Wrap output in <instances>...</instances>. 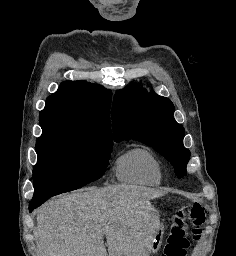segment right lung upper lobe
I'll list each match as a JSON object with an SVG mask.
<instances>
[{
	"instance_id": "1",
	"label": "right lung upper lobe",
	"mask_w": 236,
	"mask_h": 256,
	"mask_svg": "<svg viewBox=\"0 0 236 256\" xmlns=\"http://www.w3.org/2000/svg\"><path fill=\"white\" fill-rule=\"evenodd\" d=\"M111 91L85 81L63 82L46 100L39 119L42 129L67 128L112 139Z\"/></svg>"
}]
</instances>
